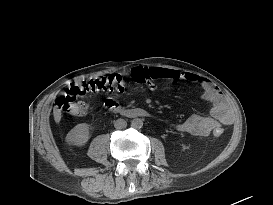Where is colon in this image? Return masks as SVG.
Here are the masks:
<instances>
[{
  "label": "colon",
  "mask_w": 273,
  "mask_h": 205,
  "mask_svg": "<svg viewBox=\"0 0 273 205\" xmlns=\"http://www.w3.org/2000/svg\"><path fill=\"white\" fill-rule=\"evenodd\" d=\"M150 77L147 68L136 67L131 69L126 76L115 74L92 78L82 86L74 87L69 95L58 98L56 100V106L60 111L65 113L81 114L86 110L85 103L79 100V97L83 92L99 90L123 91L127 82L146 83L150 80ZM222 133L223 130L220 128L213 131V134L216 137H220Z\"/></svg>",
  "instance_id": "colon-1"
}]
</instances>
